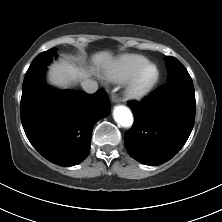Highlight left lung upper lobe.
<instances>
[{"label": "left lung upper lobe", "mask_w": 222, "mask_h": 222, "mask_svg": "<svg viewBox=\"0 0 222 222\" xmlns=\"http://www.w3.org/2000/svg\"><path fill=\"white\" fill-rule=\"evenodd\" d=\"M165 60L169 71L168 81L190 77L189 73L179 60L172 56L165 57Z\"/></svg>", "instance_id": "5c2ea615"}]
</instances>
